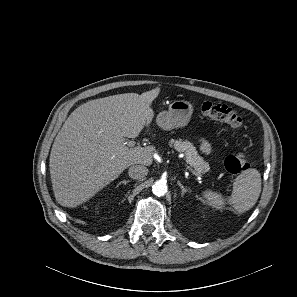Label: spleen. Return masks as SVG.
Here are the masks:
<instances>
[{"instance_id": "3e777b00", "label": "spleen", "mask_w": 297, "mask_h": 297, "mask_svg": "<svg viewBox=\"0 0 297 297\" xmlns=\"http://www.w3.org/2000/svg\"><path fill=\"white\" fill-rule=\"evenodd\" d=\"M260 192L261 175L258 170L249 168L236 177L228 202L238 213H243L255 205ZM202 194L206 204L213 208L221 209L225 204V199L217 192L205 190Z\"/></svg>"}]
</instances>
